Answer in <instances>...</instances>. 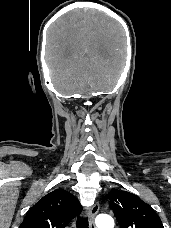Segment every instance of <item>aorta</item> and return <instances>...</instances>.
<instances>
[{
  "instance_id": "762f6f07",
  "label": "aorta",
  "mask_w": 171,
  "mask_h": 228,
  "mask_svg": "<svg viewBox=\"0 0 171 228\" xmlns=\"http://www.w3.org/2000/svg\"><path fill=\"white\" fill-rule=\"evenodd\" d=\"M97 228H114V220L111 216L101 214L96 218Z\"/></svg>"
}]
</instances>
